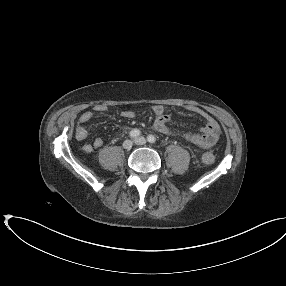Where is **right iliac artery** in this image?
Here are the masks:
<instances>
[{
    "label": "right iliac artery",
    "instance_id": "obj_1",
    "mask_svg": "<svg viewBox=\"0 0 286 286\" xmlns=\"http://www.w3.org/2000/svg\"><path fill=\"white\" fill-rule=\"evenodd\" d=\"M140 134H141V133H140V131H139L138 129H133V130L130 131L129 136H130L131 138H136V137H138Z\"/></svg>",
    "mask_w": 286,
    "mask_h": 286
}]
</instances>
